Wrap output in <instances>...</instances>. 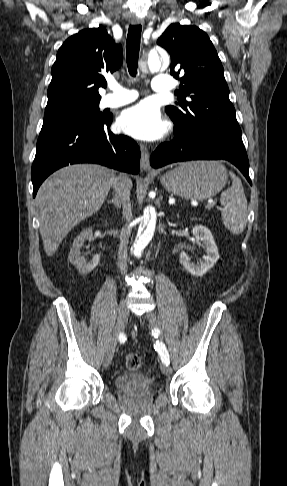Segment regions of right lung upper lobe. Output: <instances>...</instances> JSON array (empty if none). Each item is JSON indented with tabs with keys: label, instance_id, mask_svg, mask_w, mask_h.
<instances>
[{
	"label": "right lung upper lobe",
	"instance_id": "cb5924a9",
	"mask_svg": "<svg viewBox=\"0 0 287 486\" xmlns=\"http://www.w3.org/2000/svg\"><path fill=\"white\" fill-rule=\"evenodd\" d=\"M122 58L121 45L102 26L72 35L58 50L46 107L100 100L98 88L106 84L104 75L118 70Z\"/></svg>",
	"mask_w": 287,
	"mask_h": 486
}]
</instances>
